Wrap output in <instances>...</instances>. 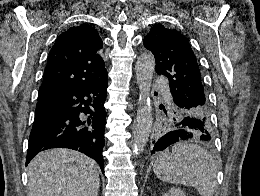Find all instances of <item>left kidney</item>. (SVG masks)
I'll return each instance as SVG.
<instances>
[{
    "label": "left kidney",
    "mask_w": 260,
    "mask_h": 196,
    "mask_svg": "<svg viewBox=\"0 0 260 196\" xmlns=\"http://www.w3.org/2000/svg\"><path fill=\"white\" fill-rule=\"evenodd\" d=\"M164 196H185V194L182 190H179V188H171Z\"/></svg>",
    "instance_id": "5707ae66"
}]
</instances>
